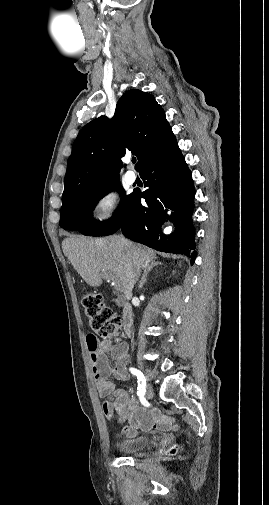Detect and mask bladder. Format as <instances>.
Masks as SVG:
<instances>
[{
    "label": "bladder",
    "mask_w": 269,
    "mask_h": 505,
    "mask_svg": "<svg viewBox=\"0 0 269 505\" xmlns=\"http://www.w3.org/2000/svg\"><path fill=\"white\" fill-rule=\"evenodd\" d=\"M152 443L153 440L150 437L143 436L118 442L116 447L123 454L133 455L146 450Z\"/></svg>",
    "instance_id": "obj_1"
}]
</instances>
